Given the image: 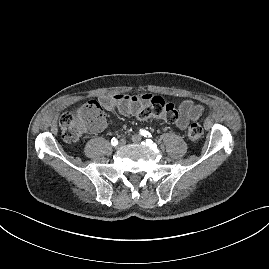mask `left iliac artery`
<instances>
[{
    "label": "left iliac artery",
    "instance_id": "1",
    "mask_svg": "<svg viewBox=\"0 0 269 269\" xmlns=\"http://www.w3.org/2000/svg\"><path fill=\"white\" fill-rule=\"evenodd\" d=\"M140 134L146 138L152 137L151 133H149L148 131L141 129L140 130Z\"/></svg>",
    "mask_w": 269,
    "mask_h": 269
}]
</instances>
